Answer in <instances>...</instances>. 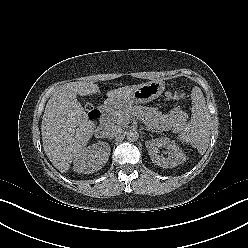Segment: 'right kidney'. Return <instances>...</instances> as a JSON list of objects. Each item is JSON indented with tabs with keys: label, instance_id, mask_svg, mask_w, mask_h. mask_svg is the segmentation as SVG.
Listing matches in <instances>:
<instances>
[{
	"label": "right kidney",
	"instance_id": "ca27d5eb",
	"mask_svg": "<svg viewBox=\"0 0 248 248\" xmlns=\"http://www.w3.org/2000/svg\"><path fill=\"white\" fill-rule=\"evenodd\" d=\"M110 151L109 144L104 142L84 147L74 159V171L91 174L100 170L108 161Z\"/></svg>",
	"mask_w": 248,
	"mask_h": 248
}]
</instances>
